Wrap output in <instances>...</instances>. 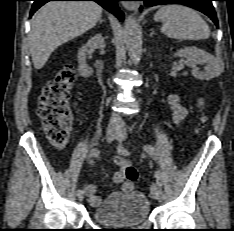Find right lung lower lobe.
Here are the masks:
<instances>
[{"label": "right lung lower lobe", "mask_w": 234, "mask_h": 231, "mask_svg": "<svg viewBox=\"0 0 234 231\" xmlns=\"http://www.w3.org/2000/svg\"><path fill=\"white\" fill-rule=\"evenodd\" d=\"M33 1L34 3L32 5L30 17L34 14V12L37 9H39L42 5H44L48 1H95L98 4H100L103 8L113 13L121 21L124 19V14L117 5V1L120 0H33Z\"/></svg>", "instance_id": "obj_1"}]
</instances>
